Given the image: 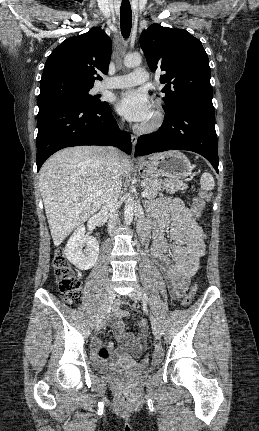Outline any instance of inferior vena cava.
I'll return each mask as SVG.
<instances>
[{
    "instance_id": "obj_1",
    "label": "inferior vena cava",
    "mask_w": 259,
    "mask_h": 431,
    "mask_svg": "<svg viewBox=\"0 0 259 431\" xmlns=\"http://www.w3.org/2000/svg\"><path fill=\"white\" fill-rule=\"evenodd\" d=\"M119 152L114 147L107 149L106 164V183L103 195V207L112 214L108 223V232L111 233L118 223L116 207L122 187V175L119 165Z\"/></svg>"
}]
</instances>
